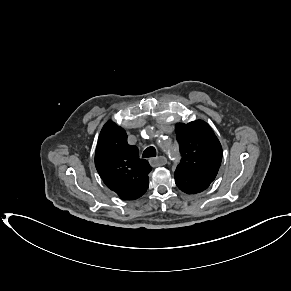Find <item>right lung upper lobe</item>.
I'll return each mask as SVG.
<instances>
[{
    "mask_svg": "<svg viewBox=\"0 0 291 291\" xmlns=\"http://www.w3.org/2000/svg\"><path fill=\"white\" fill-rule=\"evenodd\" d=\"M96 169L106 186L123 200L141 197L149 186L151 166L127 143L123 128L109 120L102 128L95 151Z\"/></svg>",
    "mask_w": 291,
    "mask_h": 291,
    "instance_id": "obj_1",
    "label": "right lung upper lobe"
}]
</instances>
